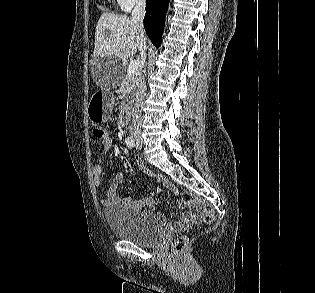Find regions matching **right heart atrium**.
<instances>
[{
	"instance_id": "obj_1",
	"label": "right heart atrium",
	"mask_w": 315,
	"mask_h": 293,
	"mask_svg": "<svg viewBox=\"0 0 315 293\" xmlns=\"http://www.w3.org/2000/svg\"><path fill=\"white\" fill-rule=\"evenodd\" d=\"M144 0H116L119 8L125 12L130 11L136 5L143 3Z\"/></svg>"
}]
</instances>
